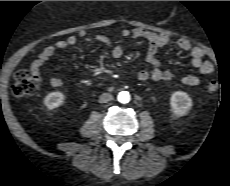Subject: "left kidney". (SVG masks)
<instances>
[{"mask_svg": "<svg viewBox=\"0 0 230 186\" xmlns=\"http://www.w3.org/2000/svg\"><path fill=\"white\" fill-rule=\"evenodd\" d=\"M170 105L175 115L183 116L192 107V99L187 93L176 91L171 95Z\"/></svg>", "mask_w": 230, "mask_h": 186, "instance_id": "obj_1", "label": "left kidney"}]
</instances>
